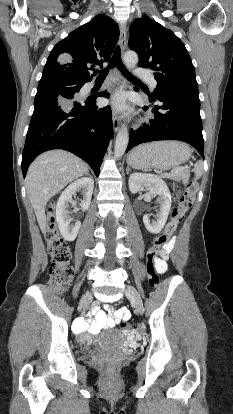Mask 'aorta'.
Instances as JSON below:
<instances>
[{
	"instance_id": "1",
	"label": "aorta",
	"mask_w": 233,
	"mask_h": 414,
	"mask_svg": "<svg viewBox=\"0 0 233 414\" xmlns=\"http://www.w3.org/2000/svg\"><path fill=\"white\" fill-rule=\"evenodd\" d=\"M124 62L128 68H134L138 63V55L134 51H127L124 54ZM129 134L126 126H123L117 134L114 155L115 157H121L128 146Z\"/></svg>"
}]
</instances>
